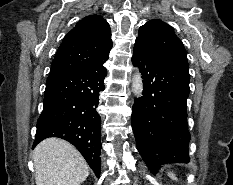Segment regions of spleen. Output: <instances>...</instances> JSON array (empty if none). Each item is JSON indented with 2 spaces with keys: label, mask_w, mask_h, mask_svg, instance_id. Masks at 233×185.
Instances as JSON below:
<instances>
[{
  "label": "spleen",
  "mask_w": 233,
  "mask_h": 185,
  "mask_svg": "<svg viewBox=\"0 0 233 185\" xmlns=\"http://www.w3.org/2000/svg\"><path fill=\"white\" fill-rule=\"evenodd\" d=\"M168 175H169L172 179L177 180L176 175L173 174L172 172L168 173Z\"/></svg>",
  "instance_id": "3e777b00"
}]
</instances>
